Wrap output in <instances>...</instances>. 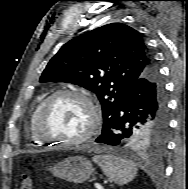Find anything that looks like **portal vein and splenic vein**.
Here are the masks:
<instances>
[{
	"instance_id": "portal-vein-and-splenic-vein-1",
	"label": "portal vein and splenic vein",
	"mask_w": 188,
	"mask_h": 189,
	"mask_svg": "<svg viewBox=\"0 0 188 189\" xmlns=\"http://www.w3.org/2000/svg\"><path fill=\"white\" fill-rule=\"evenodd\" d=\"M95 187L98 188V189H103V187H101V186L98 185V184H96Z\"/></svg>"
}]
</instances>
